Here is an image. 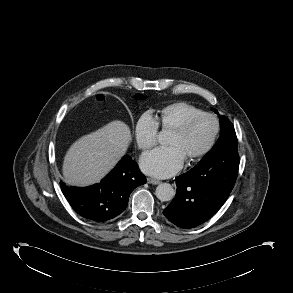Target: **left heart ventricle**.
<instances>
[{"instance_id": "left-heart-ventricle-1", "label": "left heart ventricle", "mask_w": 293, "mask_h": 293, "mask_svg": "<svg viewBox=\"0 0 293 293\" xmlns=\"http://www.w3.org/2000/svg\"><path fill=\"white\" fill-rule=\"evenodd\" d=\"M214 130V124L209 118L198 120L191 130L179 136L172 133L168 140L169 147H176L185 159H188L201 151L209 142Z\"/></svg>"}]
</instances>
